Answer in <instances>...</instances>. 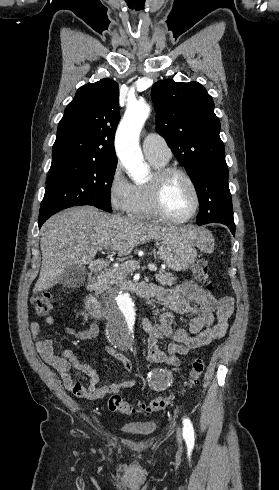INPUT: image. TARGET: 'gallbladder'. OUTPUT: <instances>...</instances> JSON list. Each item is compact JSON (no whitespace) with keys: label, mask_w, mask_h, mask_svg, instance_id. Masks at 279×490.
<instances>
[{"label":"gallbladder","mask_w":279,"mask_h":490,"mask_svg":"<svg viewBox=\"0 0 279 490\" xmlns=\"http://www.w3.org/2000/svg\"><path fill=\"white\" fill-rule=\"evenodd\" d=\"M87 274L86 266H68L62 274L59 284H62L63 288H80L83 286Z\"/></svg>","instance_id":"obj_1"}]
</instances>
